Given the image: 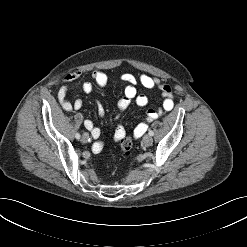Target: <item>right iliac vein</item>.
Segmentation results:
<instances>
[{"label": "right iliac vein", "instance_id": "1", "mask_svg": "<svg viewBox=\"0 0 247 247\" xmlns=\"http://www.w3.org/2000/svg\"><path fill=\"white\" fill-rule=\"evenodd\" d=\"M89 141V135L87 133H84L81 137L82 143H87Z\"/></svg>", "mask_w": 247, "mask_h": 247}]
</instances>
